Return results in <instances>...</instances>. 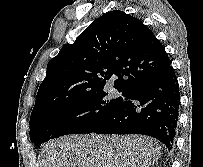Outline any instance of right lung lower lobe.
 <instances>
[{
    "label": "right lung lower lobe",
    "mask_w": 203,
    "mask_h": 167,
    "mask_svg": "<svg viewBox=\"0 0 203 167\" xmlns=\"http://www.w3.org/2000/svg\"><path fill=\"white\" fill-rule=\"evenodd\" d=\"M125 100L93 132L152 136L171 150L176 135L180 93L173 68L137 83Z\"/></svg>",
    "instance_id": "1"
}]
</instances>
